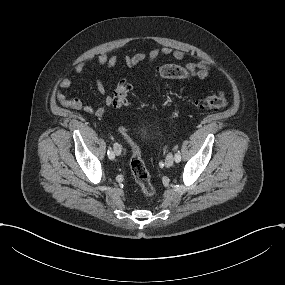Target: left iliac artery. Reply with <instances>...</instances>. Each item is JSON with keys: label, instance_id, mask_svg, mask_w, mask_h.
I'll return each mask as SVG.
<instances>
[{"label": "left iliac artery", "instance_id": "1", "mask_svg": "<svg viewBox=\"0 0 285 285\" xmlns=\"http://www.w3.org/2000/svg\"><path fill=\"white\" fill-rule=\"evenodd\" d=\"M179 153H180V152H179V150H178V153H176V155H175V161H176L177 163L181 161V156H180Z\"/></svg>", "mask_w": 285, "mask_h": 285}]
</instances>
